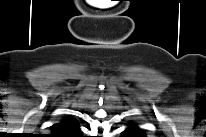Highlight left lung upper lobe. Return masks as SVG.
<instances>
[{
	"label": "left lung upper lobe",
	"instance_id": "1",
	"mask_svg": "<svg viewBox=\"0 0 206 137\" xmlns=\"http://www.w3.org/2000/svg\"><path fill=\"white\" fill-rule=\"evenodd\" d=\"M129 127H133L139 130L138 126L135 123L128 124Z\"/></svg>",
	"mask_w": 206,
	"mask_h": 137
}]
</instances>
